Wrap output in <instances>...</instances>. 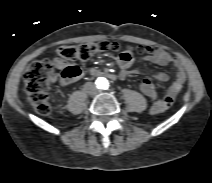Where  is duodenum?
Here are the masks:
<instances>
[{
	"mask_svg": "<svg viewBox=\"0 0 212 183\" xmlns=\"http://www.w3.org/2000/svg\"><path fill=\"white\" fill-rule=\"evenodd\" d=\"M89 73L91 76H106L111 79H117V76L115 74L98 68H92Z\"/></svg>",
	"mask_w": 212,
	"mask_h": 183,
	"instance_id": "duodenum-1",
	"label": "duodenum"
}]
</instances>
